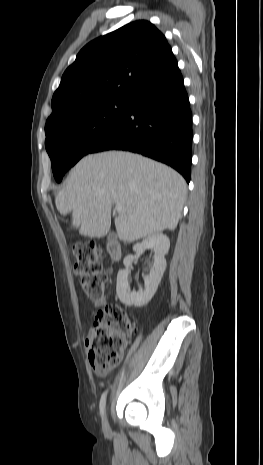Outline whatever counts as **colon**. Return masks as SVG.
Here are the masks:
<instances>
[{"label":"colon","mask_w":263,"mask_h":465,"mask_svg":"<svg viewBox=\"0 0 263 465\" xmlns=\"http://www.w3.org/2000/svg\"><path fill=\"white\" fill-rule=\"evenodd\" d=\"M76 261L74 272L93 300L103 297L106 275L103 272V255L94 242L79 243L73 249ZM131 324L126 312L118 304H109L99 310L87 338L89 360L98 372L115 367L121 360Z\"/></svg>","instance_id":"colon-1"}]
</instances>
